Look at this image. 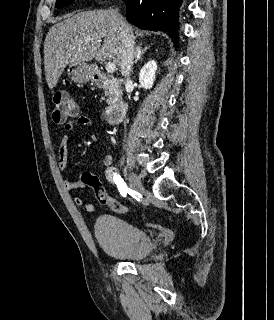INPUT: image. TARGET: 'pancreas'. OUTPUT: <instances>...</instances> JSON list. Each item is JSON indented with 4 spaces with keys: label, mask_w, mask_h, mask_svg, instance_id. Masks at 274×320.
<instances>
[{
    "label": "pancreas",
    "mask_w": 274,
    "mask_h": 320,
    "mask_svg": "<svg viewBox=\"0 0 274 320\" xmlns=\"http://www.w3.org/2000/svg\"><path fill=\"white\" fill-rule=\"evenodd\" d=\"M105 96H107V104H114V102H119L121 98L118 92V88H115V86H109V88H106Z\"/></svg>",
    "instance_id": "pancreas-1"
}]
</instances>
